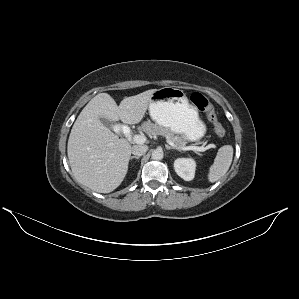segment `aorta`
<instances>
[{
  "mask_svg": "<svg viewBox=\"0 0 299 299\" xmlns=\"http://www.w3.org/2000/svg\"><path fill=\"white\" fill-rule=\"evenodd\" d=\"M163 156H164V153H163L162 149H155L152 152L151 158L153 160H161V159H163Z\"/></svg>",
  "mask_w": 299,
  "mask_h": 299,
  "instance_id": "aorta-1",
  "label": "aorta"
}]
</instances>
